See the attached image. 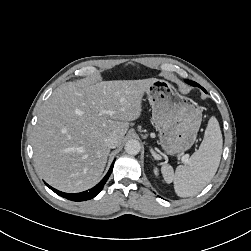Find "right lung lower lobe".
Returning <instances> with one entry per match:
<instances>
[{"label": "right lung lower lobe", "instance_id": "1", "mask_svg": "<svg viewBox=\"0 0 251 251\" xmlns=\"http://www.w3.org/2000/svg\"><path fill=\"white\" fill-rule=\"evenodd\" d=\"M113 165H114V162L112 163L108 173L105 175V177L95 186L93 187L92 189L88 190V191H84V192H81V193H75V194H69V193H64V192H61V191H58L54 188H52L51 186H49L48 184H46L52 191H54L56 194L66 198V199H69V200H72V201H85V200H89V199H92L94 198L103 188L104 184L106 183V181L108 180L112 170H113Z\"/></svg>", "mask_w": 251, "mask_h": 251}]
</instances>
